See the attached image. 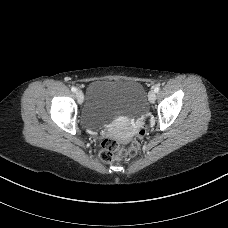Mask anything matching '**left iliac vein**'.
Wrapping results in <instances>:
<instances>
[{
	"instance_id": "4c4485c4",
	"label": "left iliac vein",
	"mask_w": 228,
	"mask_h": 228,
	"mask_svg": "<svg viewBox=\"0 0 228 228\" xmlns=\"http://www.w3.org/2000/svg\"><path fill=\"white\" fill-rule=\"evenodd\" d=\"M148 99L150 103H154L156 100V94L153 90L148 93Z\"/></svg>"
}]
</instances>
